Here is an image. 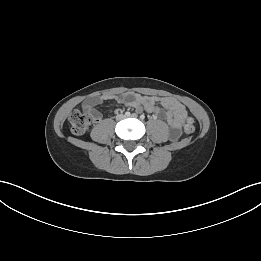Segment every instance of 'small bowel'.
<instances>
[{
	"instance_id": "1",
	"label": "small bowel",
	"mask_w": 261,
	"mask_h": 261,
	"mask_svg": "<svg viewBox=\"0 0 261 261\" xmlns=\"http://www.w3.org/2000/svg\"><path fill=\"white\" fill-rule=\"evenodd\" d=\"M107 100L133 107L138 112L145 110L156 116H164L171 129V138L175 140L181 134L187 111L184 105L175 98L145 96L133 92L120 95H99L85 100L82 103V109L90 113L95 122H100L102 115L95 110V107Z\"/></svg>"
}]
</instances>
